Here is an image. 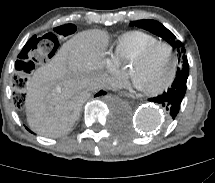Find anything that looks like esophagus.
Instances as JSON below:
<instances>
[{
  "label": "esophagus",
  "mask_w": 215,
  "mask_h": 183,
  "mask_svg": "<svg viewBox=\"0 0 215 183\" xmlns=\"http://www.w3.org/2000/svg\"><path fill=\"white\" fill-rule=\"evenodd\" d=\"M120 96L132 97V93L127 90H122L119 92Z\"/></svg>",
  "instance_id": "obj_1"
}]
</instances>
